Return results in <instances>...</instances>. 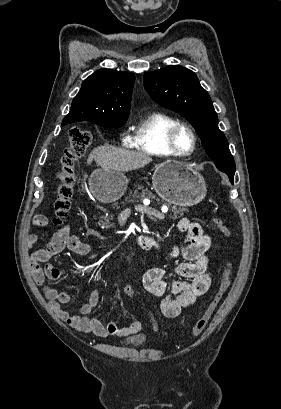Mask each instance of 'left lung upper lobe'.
Instances as JSON below:
<instances>
[{
    "mask_svg": "<svg viewBox=\"0 0 281 409\" xmlns=\"http://www.w3.org/2000/svg\"><path fill=\"white\" fill-rule=\"evenodd\" d=\"M143 81L155 102L181 114L192 124L216 167L224 173H235L228 141L218 128L211 98L201 87L196 74L172 65L146 73Z\"/></svg>",
    "mask_w": 281,
    "mask_h": 409,
    "instance_id": "1",
    "label": "left lung upper lobe"
}]
</instances>
